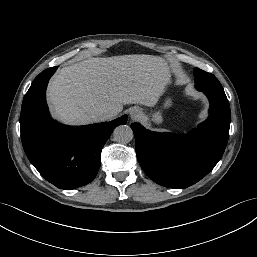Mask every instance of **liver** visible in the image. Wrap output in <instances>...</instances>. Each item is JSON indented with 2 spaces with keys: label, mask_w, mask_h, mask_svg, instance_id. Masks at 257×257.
I'll return each instance as SVG.
<instances>
[{
  "label": "liver",
  "mask_w": 257,
  "mask_h": 257,
  "mask_svg": "<svg viewBox=\"0 0 257 257\" xmlns=\"http://www.w3.org/2000/svg\"><path fill=\"white\" fill-rule=\"evenodd\" d=\"M169 82V68L161 57H96L62 68L50 81L47 97L57 119L82 125L97 122L100 110L118 114L126 104L153 107Z\"/></svg>",
  "instance_id": "obj_1"
}]
</instances>
